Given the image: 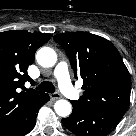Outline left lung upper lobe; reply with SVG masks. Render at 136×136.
I'll use <instances>...</instances> for the list:
<instances>
[{
  "label": "left lung upper lobe",
  "instance_id": "5c2ea615",
  "mask_svg": "<svg viewBox=\"0 0 136 136\" xmlns=\"http://www.w3.org/2000/svg\"><path fill=\"white\" fill-rule=\"evenodd\" d=\"M67 52L75 77L83 80V96L71 101L88 108L124 115L130 102V74L115 46L85 32L54 36Z\"/></svg>",
  "mask_w": 136,
  "mask_h": 136
}]
</instances>
